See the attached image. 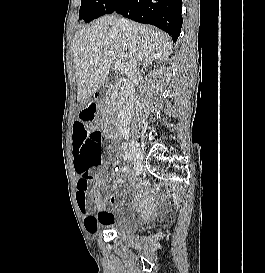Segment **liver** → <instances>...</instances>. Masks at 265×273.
<instances>
[{"label":"liver","mask_w":265,"mask_h":273,"mask_svg":"<svg viewBox=\"0 0 265 273\" xmlns=\"http://www.w3.org/2000/svg\"><path fill=\"white\" fill-rule=\"evenodd\" d=\"M119 20L113 15L103 16L80 29L72 40L71 50L77 81V100L94 95L108 78L113 59L130 62V43ZM128 32L137 49V64L151 65L153 61L168 59L172 43L170 37L155 27L128 21Z\"/></svg>","instance_id":"obj_1"}]
</instances>
